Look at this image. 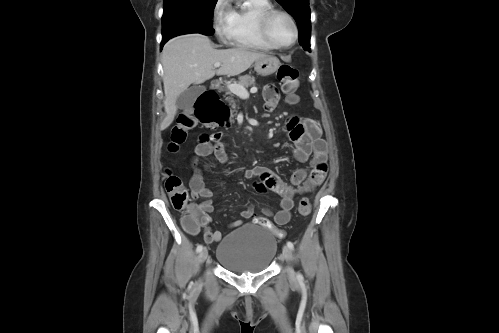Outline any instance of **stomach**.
Here are the masks:
<instances>
[{
  "label": "stomach",
  "mask_w": 499,
  "mask_h": 333,
  "mask_svg": "<svg viewBox=\"0 0 499 333\" xmlns=\"http://www.w3.org/2000/svg\"><path fill=\"white\" fill-rule=\"evenodd\" d=\"M280 66V61L274 56H266L258 59L254 63V70L258 75L269 76L275 73Z\"/></svg>",
  "instance_id": "0dacf381"
}]
</instances>
